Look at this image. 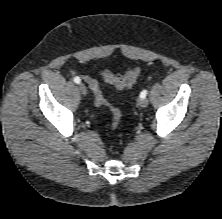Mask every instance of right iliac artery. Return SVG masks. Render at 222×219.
Masks as SVG:
<instances>
[{
	"label": "right iliac artery",
	"instance_id": "right-iliac-artery-1",
	"mask_svg": "<svg viewBox=\"0 0 222 219\" xmlns=\"http://www.w3.org/2000/svg\"><path fill=\"white\" fill-rule=\"evenodd\" d=\"M74 82H75L76 84H79V83L81 82V79H80L79 77H75V78H74Z\"/></svg>",
	"mask_w": 222,
	"mask_h": 219
}]
</instances>
